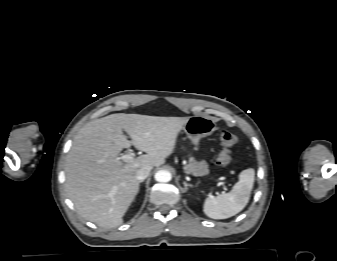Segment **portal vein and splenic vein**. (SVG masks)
<instances>
[{
    "label": "portal vein and splenic vein",
    "mask_w": 337,
    "mask_h": 261,
    "mask_svg": "<svg viewBox=\"0 0 337 261\" xmlns=\"http://www.w3.org/2000/svg\"><path fill=\"white\" fill-rule=\"evenodd\" d=\"M124 162H129L133 160V154L132 153H127L124 154L120 157Z\"/></svg>",
    "instance_id": "1"
}]
</instances>
